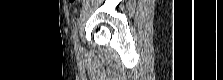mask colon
<instances>
[{
    "label": "colon",
    "instance_id": "colon-1",
    "mask_svg": "<svg viewBox=\"0 0 223 80\" xmlns=\"http://www.w3.org/2000/svg\"><path fill=\"white\" fill-rule=\"evenodd\" d=\"M71 3H74V2H76V0H69Z\"/></svg>",
    "mask_w": 223,
    "mask_h": 80
}]
</instances>
